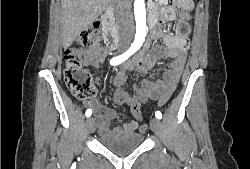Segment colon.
Listing matches in <instances>:
<instances>
[{"label":"colon","instance_id":"1","mask_svg":"<svg viewBox=\"0 0 250 169\" xmlns=\"http://www.w3.org/2000/svg\"><path fill=\"white\" fill-rule=\"evenodd\" d=\"M179 5L182 8H192V3L189 0H180ZM179 31L181 34L188 32V25L186 21L181 20L179 22ZM100 32L99 23H94L92 27L81 34H77L75 43L83 47H89L93 44L94 40ZM63 75L64 81L71 91V93L79 99H88L94 95V87L90 73L82 66V63L75 54L74 45H69L65 48L63 54ZM171 91L167 90L163 92V97L158 100L159 104H166L168 97H170ZM139 103H131L133 117H137V120H142V112H140ZM147 129L146 124L140 126V132H145Z\"/></svg>","mask_w":250,"mask_h":169}]
</instances>
